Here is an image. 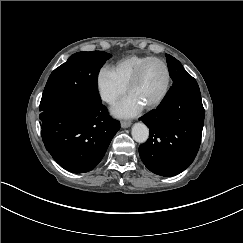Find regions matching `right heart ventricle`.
<instances>
[{
	"instance_id": "right-heart-ventricle-1",
	"label": "right heart ventricle",
	"mask_w": 243,
	"mask_h": 243,
	"mask_svg": "<svg viewBox=\"0 0 243 243\" xmlns=\"http://www.w3.org/2000/svg\"><path fill=\"white\" fill-rule=\"evenodd\" d=\"M151 57L153 56L146 54H130L114 62L111 68L113 69L119 83L126 87L138 66L143 61Z\"/></svg>"
}]
</instances>
